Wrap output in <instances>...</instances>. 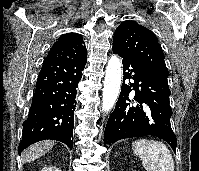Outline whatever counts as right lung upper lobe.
Masks as SVG:
<instances>
[{
	"mask_svg": "<svg viewBox=\"0 0 199 171\" xmlns=\"http://www.w3.org/2000/svg\"><path fill=\"white\" fill-rule=\"evenodd\" d=\"M87 56L81 34L69 32L61 35L50 49L44 62L73 61Z\"/></svg>",
	"mask_w": 199,
	"mask_h": 171,
	"instance_id": "obj_1",
	"label": "right lung upper lobe"
}]
</instances>
